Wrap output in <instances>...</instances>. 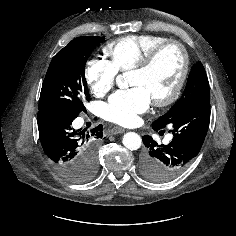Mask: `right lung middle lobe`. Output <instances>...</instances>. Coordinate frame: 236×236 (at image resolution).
<instances>
[{"label":"right lung middle lobe","instance_id":"obj_1","mask_svg":"<svg viewBox=\"0 0 236 236\" xmlns=\"http://www.w3.org/2000/svg\"><path fill=\"white\" fill-rule=\"evenodd\" d=\"M104 41L102 37L83 36L72 40L52 59L39 99V111H56L78 114L90 100L85 80V64L93 49ZM97 170V159H92L81 169L78 182L87 181Z\"/></svg>","mask_w":236,"mask_h":236}]
</instances>
